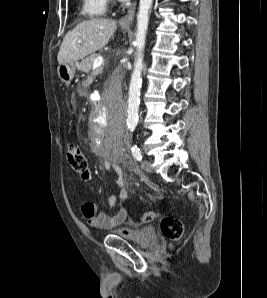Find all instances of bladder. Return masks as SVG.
<instances>
[{
  "label": "bladder",
  "instance_id": "31cf9c89",
  "mask_svg": "<svg viewBox=\"0 0 267 298\" xmlns=\"http://www.w3.org/2000/svg\"><path fill=\"white\" fill-rule=\"evenodd\" d=\"M115 235L120 236L142 248L153 247L158 242L157 233L151 226L132 229L127 235L115 232Z\"/></svg>",
  "mask_w": 267,
  "mask_h": 298
}]
</instances>
